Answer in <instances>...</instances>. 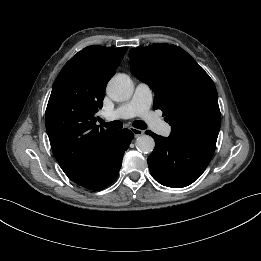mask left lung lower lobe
<instances>
[{"label": "left lung lower lobe", "mask_w": 261, "mask_h": 261, "mask_svg": "<svg viewBox=\"0 0 261 261\" xmlns=\"http://www.w3.org/2000/svg\"><path fill=\"white\" fill-rule=\"evenodd\" d=\"M155 148L147 162L152 177L173 188L188 186L199 178L208 166L215 145L187 142L173 136L162 137L151 131Z\"/></svg>", "instance_id": "left-lung-lower-lobe-1"}]
</instances>
